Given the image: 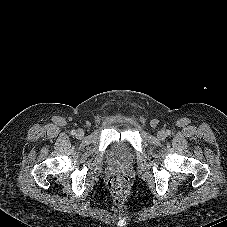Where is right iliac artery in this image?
I'll use <instances>...</instances> for the list:
<instances>
[{"mask_svg": "<svg viewBox=\"0 0 227 227\" xmlns=\"http://www.w3.org/2000/svg\"><path fill=\"white\" fill-rule=\"evenodd\" d=\"M71 134H72V135H75V134H76V131H75V130H72V131H71Z\"/></svg>", "mask_w": 227, "mask_h": 227, "instance_id": "obj_1", "label": "right iliac artery"}]
</instances>
